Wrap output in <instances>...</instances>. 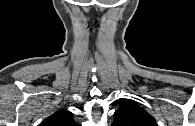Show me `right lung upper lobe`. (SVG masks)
<instances>
[{
	"instance_id": "obj_1",
	"label": "right lung upper lobe",
	"mask_w": 195,
	"mask_h": 126,
	"mask_svg": "<svg viewBox=\"0 0 195 126\" xmlns=\"http://www.w3.org/2000/svg\"><path fill=\"white\" fill-rule=\"evenodd\" d=\"M72 115L71 112L65 109H60L49 116L41 126H79L73 120Z\"/></svg>"
}]
</instances>
